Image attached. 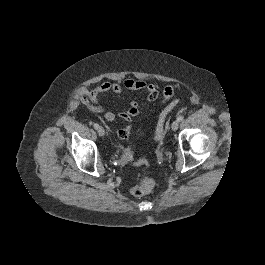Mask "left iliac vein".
<instances>
[{"instance_id":"left-iliac-vein-1","label":"left iliac vein","mask_w":265,"mask_h":265,"mask_svg":"<svg viewBox=\"0 0 265 265\" xmlns=\"http://www.w3.org/2000/svg\"><path fill=\"white\" fill-rule=\"evenodd\" d=\"M178 126H179V122L175 120L171 126L172 131H176L178 129Z\"/></svg>"}]
</instances>
